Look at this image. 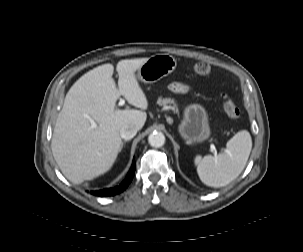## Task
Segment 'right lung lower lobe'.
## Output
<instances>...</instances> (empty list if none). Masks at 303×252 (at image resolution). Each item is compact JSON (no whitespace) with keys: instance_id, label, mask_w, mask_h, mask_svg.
<instances>
[{"instance_id":"right-lung-lower-lobe-1","label":"right lung lower lobe","mask_w":303,"mask_h":252,"mask_svg":"<svg viewBox=\"0 0 303 252\" xmlns=\"http://www.w3.org/2000/svg\"><path fill=\"white\" fill-rule=\"evenodd\" d=\"M134 172H135V161L133 160V164H132V167L129 171L127 178L119 186H116L113 188H106V189L98 190V191H91V194L95 195V196H100V197H107V196H113L118 193H121L130 184V182L134 176Z\"/></svg>"}]
</instances>
